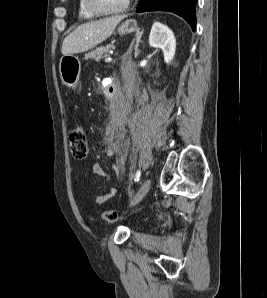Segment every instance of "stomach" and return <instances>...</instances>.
<instances>
[{"label": "stomach", "instance_id": "stomach-1", "mask_svg": "<svg viewBox=\"0 0 267 298\" xmlns=\"http://www.w3.org/2000/svg\"><path fill=\"white\" fill-rule=\"evenodd\" d=\"M135 31H138V27L134 19L126 20L117 30L119 35H126ZM59 69L62 83L69 88H76L80 74L79 60L72 55H65L60 60Z\"/></svg>", "mask_w": 267, "mask_h": 298}]
</instances>
